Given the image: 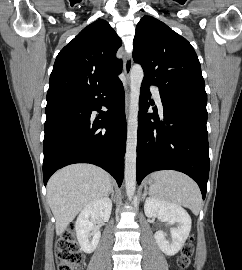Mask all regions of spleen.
Returning a JSON list of instances; mask_svg holds the SVG:
<instances>
[{
  "mask_svg": "<svg viewBox=\"0 0 242 270\" xmlns=\"http://www.w3.org/2000/svg\"><path fill=\"white\" fill-rule=\"evenodd\" d=\"M154 184L150 194L157 200L189 208L197 215L202 206L198 185L187 175L172 171H159L152 175Z\"/></svg>",
  "mask_w": 242,
  "mask_h": 270,
  "instance_id": "obj_1",
  "label": "spleen"
}]
</instances>
